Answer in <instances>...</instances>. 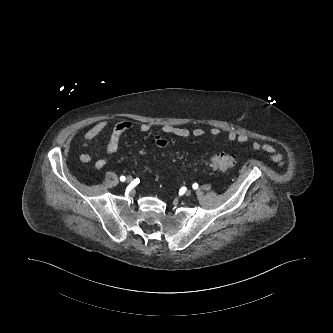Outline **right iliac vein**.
Wrapping results in <instances>:
<instances>
[{
  "label": "right iliac vein",
  "instance_id": "1",
  "mask_svg": "<svg viewBox=\"0 0 333 333\" xmlns=\"http://www.w3.org/2000/svg\"><path fill=\"white\" fill-rule=\"evenodd\" d=\"M132 179H133V178H132L131 176H128V177L126 178V182H127V183H130V182L132 181Z\"/></svg>",
  "mask_w": 333,
  "mask_h": 333
}]
</instances>
